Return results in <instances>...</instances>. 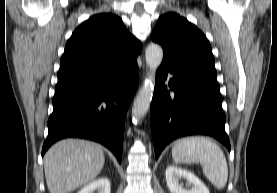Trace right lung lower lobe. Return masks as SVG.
<instances>
[{
	"instance_id": "right-lung-lower-lobe-1",
	"label": "right lung lower lobe",
	"mask_w": 277,
	"mask_h": 193,
	"mask_svg": "<svg viewBox=\"0 0 277 193\" xmlns=\"http://www.w3.org/2000/svg\"><path fill=\"white\" fill-rule=\"evenodd\" d=\"M138 84L137 58L99 75L57 83L42 156L56 141L93 140L122 159L125 119Z\"/></svg>"
}]
</instances>
